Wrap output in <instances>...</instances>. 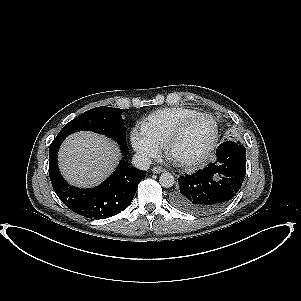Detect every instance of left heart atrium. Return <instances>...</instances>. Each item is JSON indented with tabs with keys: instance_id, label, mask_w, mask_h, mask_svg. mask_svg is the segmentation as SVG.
Segmentation results:
<instances>
[{
	"instance_id": "39dd6f15",
	"label": "left heart atrium",
	"mask_w": 301,
	"mask_h": 301,
	"mask_svg": "<svg viewBox=\"0 0 301 301\" xmlns=\"http://www.w3.org/2000/svg\"><path fill=\"white\" fill-rule=\"evenodd\" d=\"M173 160H174L175 162H177V163H179V162H180V160H179V159H177V158H175V157H173Z\"/></svg>"
}]
</instances>
